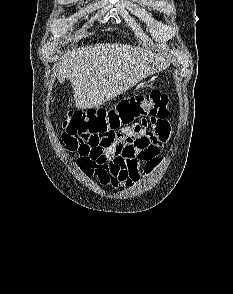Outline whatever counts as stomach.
Wrapping results in <instances>:
<instances>
[{"mask_svg":"<svg viewBox=\"0 0 233 294\" xmlns=\"http://www.w3.org/2000/svg\"><path fill=\"white\" fill-rule=\"evenodd\" d=\"M143 86H150L149 82L148 83H144Z\"/></svg>","mask_w":233,"mask_h":294,"instance_id":"1","label":"stomach"}]
</instances>
